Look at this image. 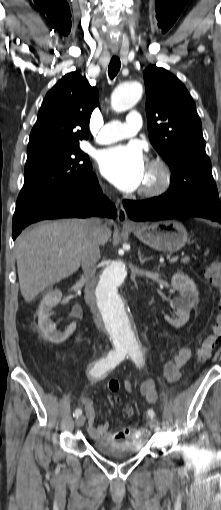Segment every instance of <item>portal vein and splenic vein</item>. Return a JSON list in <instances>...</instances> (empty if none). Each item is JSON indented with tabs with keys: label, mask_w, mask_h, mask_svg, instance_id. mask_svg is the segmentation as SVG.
Returning a JSON list of instances; mask_svg holds the SVG:
<instances>
[{
	"label": "portal vein and splenic vein",
	"mask_w": 221,
	"mask_h": 510,
	"mask_svg": "<svg viewBox=\"0 0 221 510\" xmlns=\"http://www.w3.org/2000/svg\"><path fill=\"white\" fill-rule=\"evenodd\" d=\"M177 260H178V257H177V256H175V257H172V258L170 259V262L172 263V262H175V261H177ZM189 260H190V258H189V257H184V258H182V259H181V262L185 263V262H188Z\"/></svg>",
	"instance_id": "obj_1"
}]
</instances>
